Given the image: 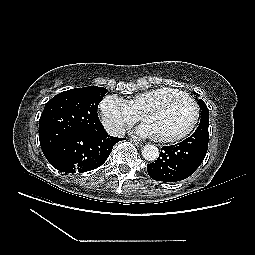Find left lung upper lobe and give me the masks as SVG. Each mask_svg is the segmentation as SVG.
<instances>
[{"label":"left lung upper lobe","mask_w":255,"mask_h":255,"mask_svg":"<svg viewBox=\"0 0 255 255\" xmlns=\"http://www.w3.org/2000/svg\"><path fill=\"white\" fill-rule=\"evenodd\" d=\"M198 103L202 109L199 126H201L203 124H209V111H208L206 104L204 103V101L202 99H199Z\"/></svg>","instance_id":"1"}]
</instances>
